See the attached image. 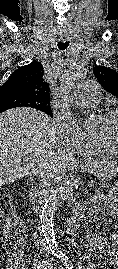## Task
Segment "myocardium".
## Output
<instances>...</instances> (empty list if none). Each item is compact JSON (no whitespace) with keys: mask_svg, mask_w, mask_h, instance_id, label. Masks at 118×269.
<instances>
[{"mask_svg":"<svg viewBox=\"0 0 118 269\" xmlns=\"http://www.w3.org/2000/svg\"><path fill=\"white\" fill-rule=\"evenodd\" d=\"M118 115V108H112L108 111H106L101 117L104 119H112L115 116ZM94 139L95 141H100L102 143H104L105 145H107L108 147H110L111 149H113L117 154H118V142L106 137V136H102V135H94Z\"/></svg>","mask_w":118,"mask_h":269,"instance_id":"myocardium-1","label":"myocardium"}]
</instances>
